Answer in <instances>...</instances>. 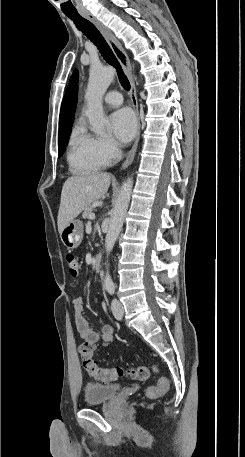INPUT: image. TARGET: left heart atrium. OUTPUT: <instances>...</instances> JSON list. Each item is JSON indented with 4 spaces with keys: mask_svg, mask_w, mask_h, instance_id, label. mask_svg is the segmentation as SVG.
<instances>
[{
    "mask_svg": "<svg viewBox=\"0 0 245 457\" xmlns=\"http://www.w3.org/2000/svg\"><path fill=\"white\" fill-rule=\"evenodd\" d=\"M110 121L119 141L126 143L132 139L137 127L132 111L129 109L117 110L111 115Z\"/></svg>",
    "mask_w": 245,
    "mask_h": 457,
    "instance_id": "left-heart-atrium-1",
    "label": "left heart atrium"
}]
</instances>
